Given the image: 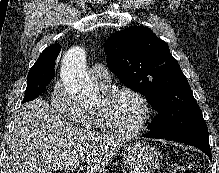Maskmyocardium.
<instances>
[{
	"instance_id": "obj_1",
	"label": "myocardium",
	"mask_w": 219,
	"mask_h": 173,
	"mask_svg": "<svg viewBox=\"0 0 219 173\" xmlns=\"http://www.w3.org/2000/svg\"><path fill=\"white\" fill-rule=\"evenodd\" d=\"M122 93H128L133 95L134 97H136L139 102L142 105L143 108V116L142 119L139 123V125L132 129V130H124L121 129L119 127H117L113 121L111 120L108 110H107V106L108 104L118 95L122 94ZM103 104L101 106L97 107V114L102 122V124L104 125V127L106 128L107 131L121 136V137H135L139 134H141L146 127L148 126V123L151 119V115H152V108L151 105L149 103V101L147 100V98L144 96V94H142L140 91L129 87V86H116V87H112L109 89H106L103 92Z\"/></svg>"
}]
</instances>
